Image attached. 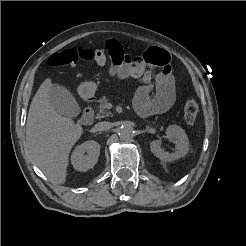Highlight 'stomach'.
Instances as JSON below:
<instances>
[{"mask_svg":"<svg viewBox=\"0 0 246 246\" xmlns=\"http://www.w3.org/2000/svg\"><path fill=\"white\" fill-rule=\"evenodd\" d=\"M97 90V84L92 81L83 82L79 86V93L85 97L92 96Z\"/></svg>","mask_w":246,"mask_h":246,"instance_id":"1","label":"stomach"}]
</instances>
